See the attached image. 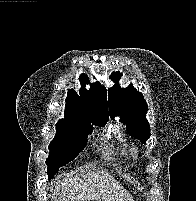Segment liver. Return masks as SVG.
Segmentation results:
<instances>
[{"instance_id": "6515ba94", "label": "liver", "mask_w": 196, "mask_h": 201, "mask_svg": "<svg viewBox=\"0 0 196 201\" xmlns=\"http://www.w3.org/2000/svg\"><path fill=\"white\" fill-rule=\"evenodd\" d=\"M55 182L58 201H127L129 197L122 185L104 171L66 174L63 178L58 176Z\"/></svg>"}]
</instances>
